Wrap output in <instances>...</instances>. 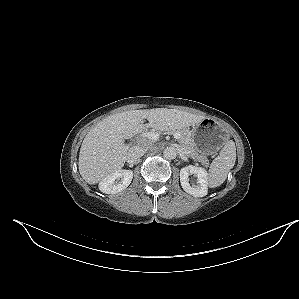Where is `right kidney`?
<instances>
[{"label": "right kidney", "mask_w": 299, "mask_h": 299, "mask_svg": "<svg viewBox=\"0 0 299 299\" xmlns=\"http://www.w3.org/2000/svg\"><path fill=\"white\" fill-rule=\"evenodd\" d=\"M132 178L133 172L131 170H118L99 183V190L105 194H116L126 189Z\"/></svg>", "instance_id": "right-kidney-1"}]
</instances>
